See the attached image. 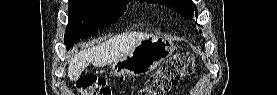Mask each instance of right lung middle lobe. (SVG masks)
Wrapping results in <instances>:
<instances>
[{
	"mask_svg": "<svg viewBox=\"0 0 277 95\" xmlns=\"http://www.w3.org/2000/svg\"><path fill=\"white\" fill-rule=\"evenodd\" d=\"M130 0H69V20L64 43L69 49L97 29L115 22Z\"/></svg>",
	"mask_w": 277,
	"mask_h": 95,
	"instance_id": "right-lung-middle-lobe-1",
	"label": "right lung middle lobe"
}]
</instances>
